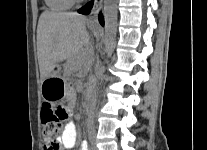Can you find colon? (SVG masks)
Segmentation results:
<instances>
[{
  "label": "colon",
  "mask_w": 207,
  "mask_h": 150,
  "mask_svg": "<svg viewBox=\"0 0 207 150\" xmlns=\"http://www.w3.org/2000/svg\"><path fill=\"white\" fill-rule=\"evenodd\" d=\"M70 109L67 105L46 103L42 107L41 122L45 150H61L57 137L62 129V123L68 118Z\"/></svg>",
  "instance_id": "obj_1"
}]
</instances>
